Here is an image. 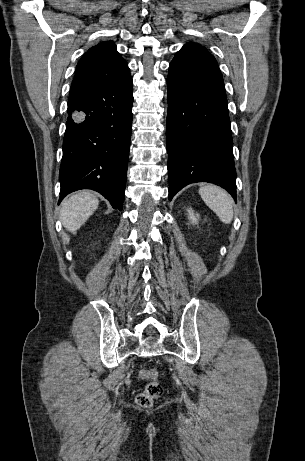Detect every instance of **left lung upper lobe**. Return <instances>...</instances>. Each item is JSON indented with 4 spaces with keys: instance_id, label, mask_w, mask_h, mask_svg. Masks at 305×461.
Wrapping results in <instances>:
<instances>
[{
    "instance_id": "obj_1",
    "label": "left lung upper lobe",
    "mask_w": 305,
    "mask_h": 461,
    "mask_svg": "<svg viewBox=\"0 0 305 461\" xmlns=\"http://www.w3.org/2000/svg\"><path fill=\"white\" fill-rule=\"evenodd\" d=\"M180 51L196 52V53H200V54L211 55V54L206 50L205 47H202L201 45L196 44V43H192V42H189V43H187L186 45H184V47H183Z\"/></svg>"
}]
</instances>
